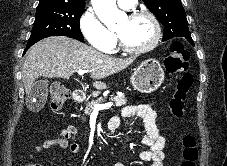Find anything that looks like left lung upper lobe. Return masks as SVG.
<instances>
[{"instance_id":"5c2ea615","label":"left lung upper lobe","mask_w":227,"mask_h":166,"mask_svg":"<svg viewBox=\"0 0 227 166\" xmlns=\"http://www.w3.org/2000/svg\"><path fill=\"white\" fill-rule=\"evenodd\" d=\"M143 2L165 26L163 41L173 37H185L194 44L181 0H143Z\"/></svg>"}]
</instances>
